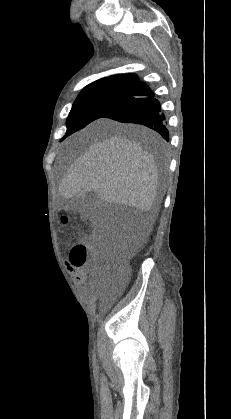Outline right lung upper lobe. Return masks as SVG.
I'll use <instances>...</instances> for the list:
<instances>
[{"label": "right lung upper lobe", "mask_w": 231, "mask_h": 419, "mask_svg": "<svg viewBox=\"0 0 231 419\" xmlns=\"http://www.w3.org/2000/svg\"><path fill=\"white\" fill-rule=\"evenodd\" d=\"M139 83V79L136 74H123V75H113L110 77H105L99 79L89 85L84 89L100 87V86H129L136 87Z\"/></svg>", "instance_id": "right-lung-upper-lobe-1"}]
</instances>
